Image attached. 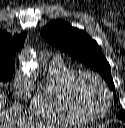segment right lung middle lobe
I'll return each mask as SVG.
<instances>
[{
    "mask_svg": "<svg viewBox=\"0 0 125 128\" xmlns=\"http://www.w3.org/2000/svg\"><path fill=\"white\" fill-rule=\"evenodd\" d=\"M15 68L13 66H0V81L7 82L11 79Z\"/></svg>",
    "mask_w": 125,
    "mask_h": 128,
    "instance_id": "1",
    "label": "right lung middle lobe"
}]
</instances>
